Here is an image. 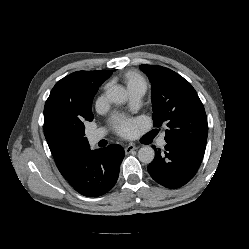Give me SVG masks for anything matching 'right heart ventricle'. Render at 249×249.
Returning a JSON list of instances; mask_svg holds the SVG:
<instances>
[{
  "instance_id": "e07e8e85",
  "label": "right heart ventricle",
  "mask_w": 249,
  "mask_h": 249,
  "mask_svg": "<svg viewBox=\"0 0 249 249\" xmlns=\"http://www.w3.org/2000/svg\"><path fill=\"white\" fill-rule=\"evenodd\" d=\"M124 84L126 85L129 92L142 91L145 92L147 89V81L145 77L135 70H129L121 76Z\"/></svg>"
}]
</instances>
